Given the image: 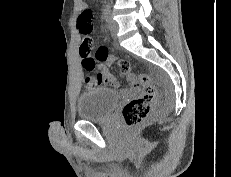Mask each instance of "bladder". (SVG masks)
Masks as SVG:
<instances>
[{
	"mask_svg": "<svg viewBox=\"0 0 231 177\" xmlns=\"http://www.w3.org/2000/svg\"><path fill=\"white\" fill-rule=\"evenodd\" d=\"M118 102L116 92L104 87H96L83 92L77 101V115L85 121L106 120Z\"/></svg>",
	"mask_w": 231,
	"mask_h": 177,
	"instance_id": "obj_1",
	"label": "bladder"
}]
</instances>
